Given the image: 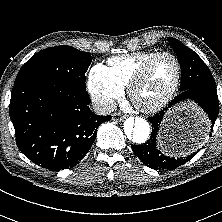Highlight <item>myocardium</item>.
Returning <instances> with one entry per match:
<instances>
[{
	"instance_id": "obj_1",
	"label": "myocardium",
	"mask_w": 222,
	"mask_h": 222,
	"mask_svg": "<svg viewBox=\"0 0 222 222\" xmlns=\"http://www.w3.org/2000/svg\"><path fill=\"white\" fill-rule=\"evenodd\" d=\"M162 57H169L171 58L175 64H176V77L175 80L170 87V89L165 93L163 97H161L158 101L149 104V105H142L137 102L136 100V90L139 87V85L143 82L145 79L149 69L154 64L155 61ZM182 77V65L177 58L176 55H174L171 52H159L156 55H154L152 58H150L148 61H146L135 73L133 78L131 79L129 85H128V95L131 101L134 103V105L142 112L144 113H152L160 110L163 108L168 102L174 97L176 94Z\"/></svg>"
}]
</instances>
